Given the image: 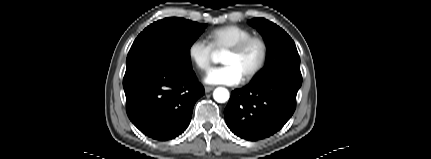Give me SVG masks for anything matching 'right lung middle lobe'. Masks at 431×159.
I'll list each match as a JSON object with an SVG mask.
<instances>
[{
	"label": "right lung middle lobe",
	"instance_id": "1",
	"mask_svg": "<svg viewBox=\"0 0 431 159\" xmlns=\"http://www.w3.org/2000/svg\"><path fill=\"white\" fill-rule=\"evenodd\" d=\"M205 28V24L176 17L154 22L135 39L127 55L126 66L148 59H162L191 69L190 48Z\"/></svg>",
	"mask_w": 431,
	"mask_h": 159
}]
</instances>
